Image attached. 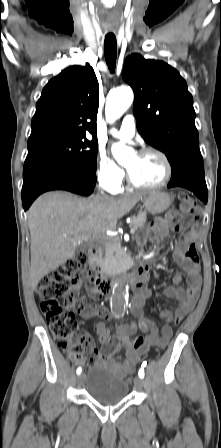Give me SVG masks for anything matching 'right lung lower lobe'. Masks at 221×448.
<instances>
[{"mask_svg": "<svg viewBox=\"0 0 221 448\" xmlns=\"http://www.w3.org/2000/svg\"><path fill=\"white\" fill-rule=\"evenodd\" d=\"M96 185V171L74 167L51 158L25 160L23 170L22 202L26 211L42 193L66 190L90 195Z\"/></svg>", "mask_w": 221, "mask_h": 448, "instance_id": "obj_1", "label": "right lung lower lobe"}]
</instances>
